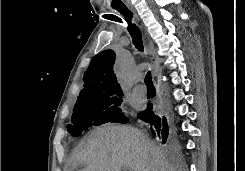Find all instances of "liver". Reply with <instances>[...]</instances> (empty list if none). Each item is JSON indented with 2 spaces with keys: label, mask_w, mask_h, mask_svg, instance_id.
<instances>
[{
  "label": "liver",
  "mask_w": 245,
  "mask_h": 171,
  "mask_svg": "<svg viewBox=\"0 0 245 171\" xmlns=\"http://www.w3.org/2000/svg\"><path fill=\"white\" fill-rule=\"evenodd\" d=\"M81 171H176L162 150L141 131L107 124L93 130L87 143L73 156L72 166Z\"/></svg>",
  "instance_id": "liver-1"
}]
</instances>
